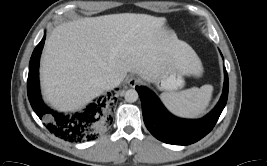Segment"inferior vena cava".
<instances>
[{"label":"inferior vena cava","mask_w":267,"mask_h":166,"mask_svg":"<svg viewBox=\"0 0 267 166\" xmlns=\"http://www.w3.org/2000/svg\"><path fill=\"white\" fill-rule=\"evenodd\" d=\"M120 83H121V79L118 76L113 75V74L107 75L102 82L104 88L106 89H112L118 86Z\"/></svg>","instance_id":"602c4592"}]
</instances>
